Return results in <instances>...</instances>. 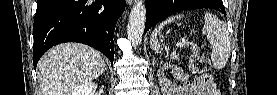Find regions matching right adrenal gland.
Wrapping results in <instances>:
<instances>
[{"label":"right adrenal gland","mask_w":277,"mask_h":95,"mask_svg":"<svg viewBox=\"0 0 277 95\" xmlns=\"http://www.w3.org/2000/svg\"><path fill=\"white\" fill-rule=\"evenodd\" d=\"M105 71H107V72H108V69H107V68H105Z\"/></svg>","instance_id":"right-adrenal-gland-1"}]
</instances>
